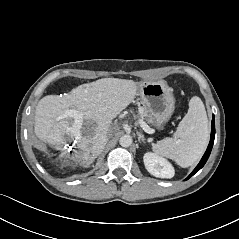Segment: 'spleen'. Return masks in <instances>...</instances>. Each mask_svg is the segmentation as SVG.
Segmentation results:
<instances>
[{
  "instance_id": "obj_1",
  "label": "spleen",
  "mask_w": 239,
  "mask_h": 239,
  "mask_svg": "<svg viewBox=\"0 0 239 239\" xmlns=\"http://www.w3.org/2000/svg\"><path fill=\"white\" fill-rule=\"evenodd\" d=\"M209 139V127L203 102L191 98L189 109L180 121L173 138L152 145L153 152L175 161L181 167L193 165L203 155Z\"/></svg>"
}]
</instances>
